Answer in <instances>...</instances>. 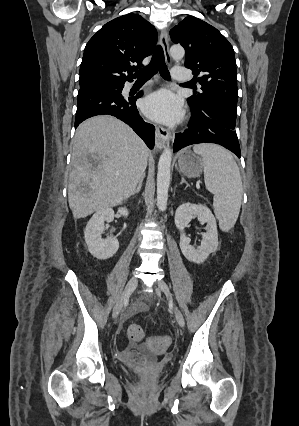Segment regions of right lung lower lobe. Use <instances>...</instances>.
<instances>
[{
	"label": "right lung lower lobe",
	"mask_w": 299,
	"mask_h": 426,
	"mask_svg": "<svg viewBox=\"0 0 299 426\" xmlns=\"http://www.w3.org/2000/svg\"><path fill=\"white\" fill-rule=\"evenodd\" d=\"M123 87L124 85L117 89L98 86L81 87L78 91L75 128L92 116L112 115L132 127L146 145L153 149L155 128L141 118L135 103L136 99L142 96V92L134 98H124L121 94Z\"/></svg>",
	"instance_id": "1"
}]
</instances>
